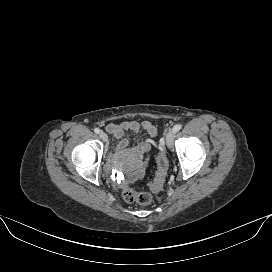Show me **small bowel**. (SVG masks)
<instances>
[{"label":"small bowel","instance_id":"1","mask_svg":"<svg viewBox=\"0 0 272 272\" xmlns=\"http://www.w3.org/2000/svg\"><path fill=\"white\" fill-rule=\"evenodd\" d=\"M106 130L112 135L113 139L117 141L116 151H127L139 157L142 160V167L135 175L140 176L143 173L144 167L148 164L150 158V151L155 143V138L158 135L157 128L149 121L137 122L126 121L121 124L110 123L106 126ZM145 132L147 139H145L136 148L128 149L129 140L124 137L125 133L139 134Z\"/></svg>","mask_w":272,"mask_h":272}]
</instances>
